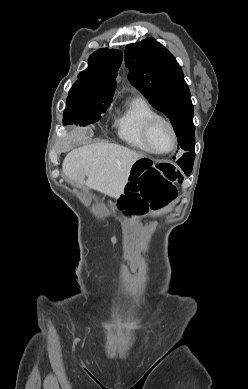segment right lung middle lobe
Instances as JSON below:
<instances>
[{
    "instance_id": "dd1d6c3e",
    "label": "right lung middle lobe",
    "mask_w": 248,
    "mask_h": 389,
    "mask_svg": "<svg viewBox=\"0 0 248 389\" xmlns=\"http://www.w3.org/2000/svg\"><path fill=\"white\" fill-rule=\"evenodd\" d=\"M113 93H103L87 89L76 81L69 91L63 123L86 126L97 122L110 106Z\"/></svg>"
}]
</instances>
